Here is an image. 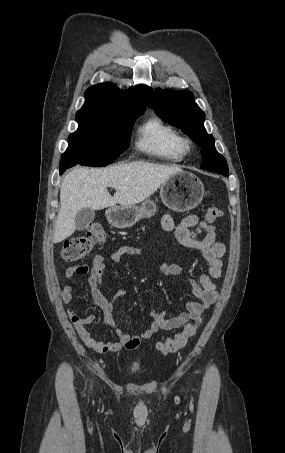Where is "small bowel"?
Here are the masks:
<instances>
[{"label":"small bowel","instance_id":"1","mask_svg":"<svg viewBox=\"0 0 285 453\" xmlns=\"http://www.w3.org/2000/svg\"><path fill=\"white\" fill-rule=\"evenodd\" d=\"M196 215H188L180 222L176 223L172 216L165 215L161 225L165 231H174L178 242L193 251L199 253L206 261L207 271L201 273L197 279L190 278L193 295L197 301L186 304V311L173 318H167L164 310L152 309L150 317L151 324L140 334H128L117 328L113 319L114 303L124 296L123 290H117L110 298H107L102 290V275L105 269L104 255L97 254L91 264H83L69 267L63 274L64 278L69 279L76 275H89L88 284L91 295L97 305L101 308L106 323L112 327L117 335V340L101 341L96 339L87 326L91 324L95 317L93 315L82 317L78 315L71 304L73 297V287L66 285L61 290V298L68 305L67 312L74 324V327L82 341L91 349L98 353L119 352L121 350H134L144 340L150 339L159 330H172L187 324L190 320H195L210 309L218 297L217 285L215 280L222 275V257L225 253V246L216 240L214 225H206V235L203 239H197L190 229L198 224ZM143 250L133 246H121L111 254V260L119 262L125 255H140ZM161 271L165 276H183L184 269L176 263H163Z\"/></svg>","mask_w":285,"mask_h":453}]
</instances>
